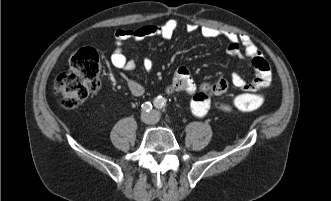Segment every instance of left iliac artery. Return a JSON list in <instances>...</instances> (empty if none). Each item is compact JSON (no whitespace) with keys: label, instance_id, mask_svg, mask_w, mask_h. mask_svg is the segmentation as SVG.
Wrapping results in <instances>:
<instances>
[{"label":"left iliac artery","instance_id":"obj_1","mask_svg":"<svg viewBox=\"0 0 331 201\" xmlns=\"http://www.w3.org/2000/svg\"><path fill=\"white\" fill-rule=\"evenodd\" d=\"M154 104H155L156 108L165 109V107L167 105V100L165 98H163L162 96H159L155 99Z\"/></svg>","mask_w":331,"mask_h":201}]
</instances>
